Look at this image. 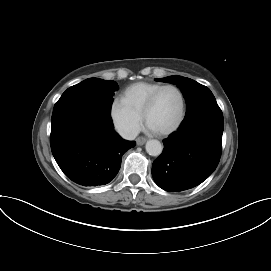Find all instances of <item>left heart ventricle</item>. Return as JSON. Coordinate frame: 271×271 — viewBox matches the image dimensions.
<instances>
[{
	"mask_svg": "<svg viewBox=\"0 0 271 271\" xmlns=\"http://www.w3.org/2000/svg\"><path fill=\"white\" fill-rule=\"evenodd\" d=\"M180 113V97L173 89L163 91L148 115V124L157 132L170 128Z\"/></svg>",
	"mask_w": 271,
	"mask_h": 271,
	"instance_id": "obj_1",
	"label": "left heart ventricle"
}]
</instances>
